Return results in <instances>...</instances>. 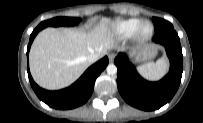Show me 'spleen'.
<instances>
[{
    "mask_svg": "<svg viewBox=\"0 0 203 123\" xmlns=\"http://www.w3.org/2000/svg\"><path fill=\"white\" fill-rule=\"evenodd\" d=\"M168 62L165 58H161L154 62L146 63L138 68L139 72L149 78V79H158L167 71Z\"/></svg>",
    "mask_w": 203,
    "mask_h": 123,
    "instance_id": "1",
    "label": "spleen"
}]
</instances>
